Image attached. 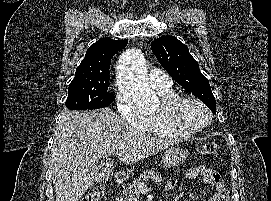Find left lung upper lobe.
Returning <instances> with one entry per match:
<instances>
[{"label": "left lung upper lobe", "mask_w": 271, "mask_h": 201, "mask_svg": "<svg viewBox=\"0 0 271 201\" xmlns=\"http://www.w3.org/2000/svg\"><path fill=\"white\" fill-rule=\"evenodd\" d=\"M157 60L184 89L204 102L216 114V100L208 79L189 53L188 47L174 36H163L151 43Z\"/></svg>", "instance_id": "1"}]
</instances>
